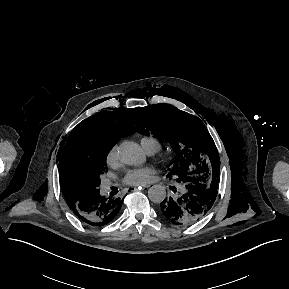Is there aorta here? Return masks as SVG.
<instances>
[{
  "instance_id": "aorta-1",
  "label": "aorta",
  "mask_w": 289,
  "mask_h": 289,
  "mask_svg": "<svg viewBox=\"0 0 289 289\" xmlns=\"http://www.w3.org/2000/svg\"><path fill=\"white\" fill-rule=\"evenodd\" d=\"M118 156L122 163L127 165H142L146 157L140 146L133 141H124L118 147ZM148 197L154 203H161L166 198L165 187L153 185L148 190Z\"/></svg>"
}]
</instances>
